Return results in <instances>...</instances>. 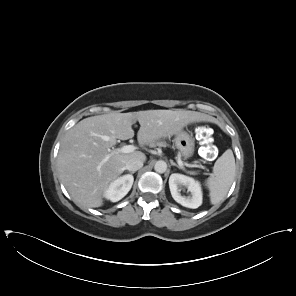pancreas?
<instances>
[{"label":"pancreas","instance_id":"cf45deb5","mask_svg":"<svg viewBox=\"0 0 296 296\" xmlns=\"http://www.w3.org/2000/svg\"><path fill=\"white\" fill-rule=\"evenodd\" d=\"M158 146H166V143L165 142H162V141H159L156 143Z\"/></svg>","mask_w":296,"mask_h":296}]
</instances>
